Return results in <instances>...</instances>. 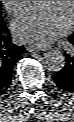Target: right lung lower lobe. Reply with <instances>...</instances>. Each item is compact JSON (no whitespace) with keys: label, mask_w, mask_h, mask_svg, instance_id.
<instances>
[{"label":"right lung lower lobe","mask_w":74,"mask_h":122,"mask_svg":"<svg viewBox=\"0 0 74 122\" xmlns=\"http://www.w3.org/2000/svg\"><path fill=\"white\" fill-rule=\"evenodd\" d=\"M25 52L23 46H15L11 43L9 34L4 32L0 34V94L8 89L13 67Z\"/></svg>","instance_id":"right-lung-lower-lobe-1"}]
</instances>
